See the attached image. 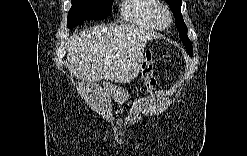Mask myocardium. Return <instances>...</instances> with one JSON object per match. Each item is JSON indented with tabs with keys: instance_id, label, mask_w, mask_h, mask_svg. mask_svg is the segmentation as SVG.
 <instances>
[{
	"instance_id": "obj_1",
	"label": "myocardium",
	"mask_w": 247,
	"mask_h": 156,
	"mask_svg": "<svg viewBox=\"0 0 247 156\" xmlns=\"http://www.w3.org/2000/svg\"><path fill=\"white\" fill-rule=\"evenodd\" d=\"M162 15H164L166 17L165 23H163L161 21ZM154 22H155L156 26L160 29H166L171 25L172 14H171V11L169 10V8L165 4L160 3L156 7L155 12H154Z\"/></svg>"
}]
</instances>
